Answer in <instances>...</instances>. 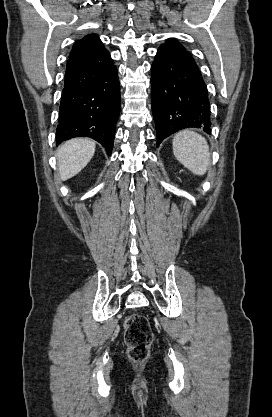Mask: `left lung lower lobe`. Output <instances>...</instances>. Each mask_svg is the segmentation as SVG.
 Listing matches in <instances>:
<instances>
[{"mask_svg": "<svg viewBox=\"0 0 272 417\" xmlns=\"http://www.w3.org/2000/svg\"><path fill=\"white\" fill-rule=\"evenodd\" d=\"M151 102L157 145L184 128L211 132L208 90L185 49L161 46L151 66Z\"/></svg>", "mask_w": 272, "mask_h": 417, "instance_id": "0a47b994", "label": "left lung lower lobe"}]
</instances>
